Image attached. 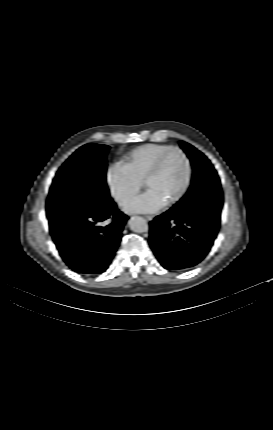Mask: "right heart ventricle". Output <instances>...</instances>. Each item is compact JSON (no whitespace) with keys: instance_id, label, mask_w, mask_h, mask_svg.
Listing matches in <instances>:
<instances>
[{"instance_id":"1","label":"right heart ventricle","mask_w":273,"mask_h":430,"mask_svg":"<svg viewBox=\"0 0 273 430\" xmlns=\"http://www.w3.org/2000/svg\"><path fill=\"white\" fill-rule=\"evenodd\" d=\"M170 147L171 146L167 144L157 143L141 145L128 152L123 157L122 164L135 178L143 182L159 156Z\"/></svg>"}]
</instances>
